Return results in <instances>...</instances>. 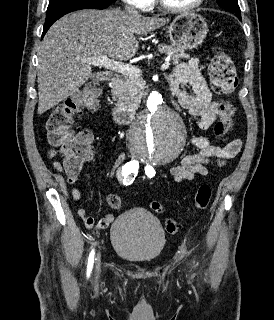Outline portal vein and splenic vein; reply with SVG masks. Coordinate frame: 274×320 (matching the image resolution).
<instances>
[{"mask_svg":"<svg viewBox=\"0 0 274 320\" xmlns=\"http://www.w3.org/2000/svg\"><path fill=\"white\" fill-rule=\"evenodd\" d=\"M81 62H86V64H92V66H101V68H107V70H112V72H119V74H124V76H133V78H138L141 76L142 72L136 66H130V64H122V62H115V60H110L107 56H97V58H84ZM170 66V58L164 60L162 68L167 70Z\"/></svg>","mask_w":274,"mask_h":320,"instance_id":"18ae733b","label":"portal vein and splenic vein"}]
</instances>
